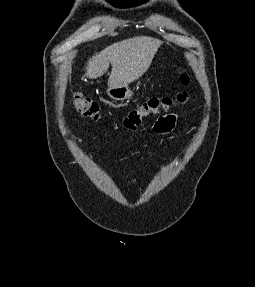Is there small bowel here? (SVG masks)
<instances>
[{"label": "small bowel", "mask_w": 255, "mask_h": 287, "mask_svg": "<svg viewBox=\"0 0 255 287\" xmlns=\"http://www.w3.org/2000/svg\"><path fill=\"white\" fill-rule=\"evenodd\" d=\"M177 116L169 114L157 119L153 125V132L157 137L169 134L176 126Z\"/></svg>", "instance_id": "c3829d8e"}]
</instances>
